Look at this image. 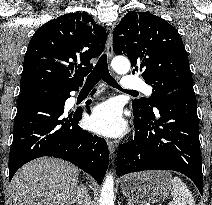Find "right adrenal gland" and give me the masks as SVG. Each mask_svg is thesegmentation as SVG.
<instances>
[{
    "label": "right adrenal gland",
    "instance_id": "2a0ac1e0",
    "mask_svg": "<svg viewBox=\"0 0 212 205\" xmlns=\"http://www.w3.org/2000/svg\"><path fill=\"white\" fill-rule=\"evenodd\" d=\"M84 191H85L84 186L81 185L80 187H78L76 197L74 198V203H76L77 205H84V198H83Z\"/></svg>",
    "mask_w": 212,
    "mask_h": 205
}]
</instances>
